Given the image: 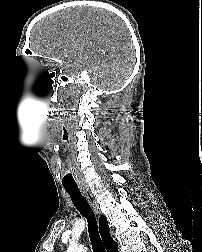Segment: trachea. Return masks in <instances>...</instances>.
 <instances>
[{"instance_id": "obj_1", "label": "trachea", "mask_w": 202, "mask_h": 252, "mask_svg": "<svg viewBox=\"0 0 202 252\" xmlns=\"http://www.w3.org/2000/svg\"><path fill=\"white\" fill-rule=\"evenodd\" d=\"M65 190L69 194L74 206L77 208L80 214L87 219L88 232L93 252H105L98 232L95 215L87 200L81 194L78 187H65Z\"/></svg>"}]
</instances>
